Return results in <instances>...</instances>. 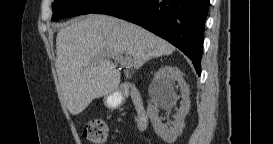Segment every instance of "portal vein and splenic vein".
<instances>
[{"instance_id": "1", "label": "portal vein and splenic vein", "mask_w": 273, "mask_h": 144, "mask_svg": "<svg viewBox=\"0 0 273 144\" xmlns=\"http://www.w3.org/2000/svg\"><path fill=\"white\" fill-rule=\"evenodd\" d=\"M107 57L112 58L125 66H129L131 64V58L128 55H126L125 58H123V56L121 54L111 52L107 55Z\"/></svg>"}]
</instances>
